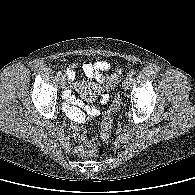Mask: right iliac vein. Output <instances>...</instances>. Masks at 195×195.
Masks as SVG:
<instances>
[{
    "label": "right iliac vein",
    "mask_w": 195,
    "mask_h": 195,
    "mask_svg": "<svg viewBox=\"0 0 195 195\" xmlns=\"http://www.w3.org/2000/svg\"><path fill=\"white\" fill-rule=\"evenodd\" d=\"M59 80H60V84H61L62 88H64L66 86V78H65V76L62 75L59 78Z\"/></svg>",
    "instance_id": "obj_1"
}]
</instances>
